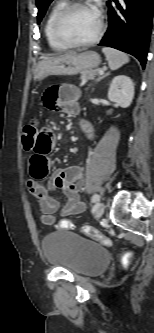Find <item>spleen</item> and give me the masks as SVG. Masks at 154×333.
Masks as SVG:
<instances>
[{
	"label": "spleen",
	"mask_w": 154,
	"mask_h": 333,
	"mask_svg": "<svg viewBox=\"0 0 154 333\" xmlns=\"http://www.w3.org/2000/svg\"><path fill=\"white\" fill-rule=\"evenodd\" d=\"M102 51L112 71L129 62V56L121 51L109 47H103Z\"/></svg>",
	"instance_id": "3e777b00"
}]
</instances>
